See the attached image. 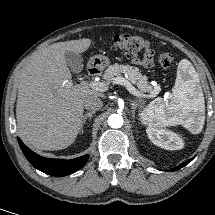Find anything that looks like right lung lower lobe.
<instances>
[{
  "mask_svg": "<svg viewBox=\"0 0 215 215\" xmlns=\"http://www.w3.org/2000/svg\"><path fill=\"white\" fill-rule=\"evenodd\" d=\"M20 148L28 161L38 170L52 176H67L79 170L88 160V155H84L72 160L51 159L37 155L26 147L18 138Z\"/></svg>",
  "mask_w": 215,
  "mask_h": 215,
  "instance_id": "1",
  "label": "right lung lower lobe"
}]
</instances>
